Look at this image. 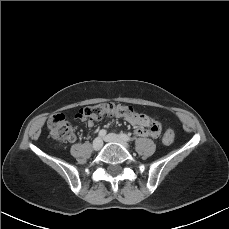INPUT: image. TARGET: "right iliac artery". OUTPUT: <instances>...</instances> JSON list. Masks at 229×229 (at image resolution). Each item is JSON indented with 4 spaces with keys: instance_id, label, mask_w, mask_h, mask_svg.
I'll use <instances>...</instances> for the list:
<instances>
[{
    "instance_id": "right-iliac-artery-1",
    "label": "right iliac artery",
    "mask_w": 229,
    "mask_h": 229,
    "mask_svg": "<svg viewBox=\"0 0 229 229\" xmlns=\"http://www.w3.org/2000/svg\"><path fill=\"white\" fill-rule=\"evenodd\" d=\"M106 133H107V131L104 130V129H102V130L99 131V134H98V135H99L100 137H104V136L106 135Z\"/></svg>"
}]
</instances>
